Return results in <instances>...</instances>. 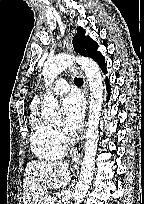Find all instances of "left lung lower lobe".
Segmentation results:
<instances>
[{"label": "left lung lower lobe", "mask_w": 144, "mask_h": 204, "mask_svg": "<svg viewBox=\"0 0 144 204\" xmlns=\"http://www.w3.org/2000/svg\"><path fill=\"white\" fill-rule=\"evenodd\" d=\"M95 61L100 65V67L102 68V71L106 74L107 70H106L105 58L99 57ZM106 88H107L108 92H110L111 88H110V85L108 82V78L106 79Z\"/></svg>", "instance_id": "obj_1"}]
</instances>
